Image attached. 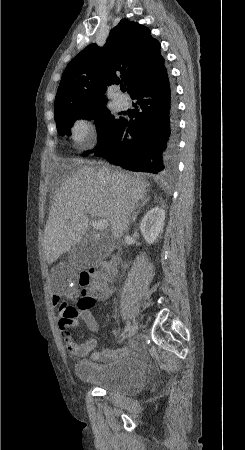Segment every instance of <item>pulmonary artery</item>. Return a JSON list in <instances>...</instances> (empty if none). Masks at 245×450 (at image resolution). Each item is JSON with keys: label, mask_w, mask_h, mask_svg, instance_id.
I'll use <instances>...</instances> for the list:
<instances>
[{"label": "pulmonary artery", "mask_w": 245, "mask_h": 450, "mask_svg": "<svg viewBox=\"0 0 245 450\" xmlns=\"http://www.w3.org/2000/svg\"><path fill=\"white\" fill-rule=\"evenodd\" d=\"M121 96L122 95L120 93L117 94L116 102H117L118 107L120 109H123L127 105V101L125 99H123Z\"/></svg>", "instance_id": "1"}]
</instances>
